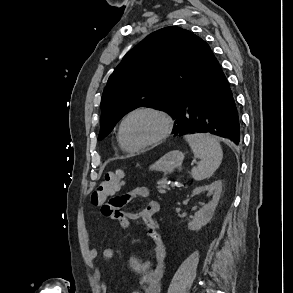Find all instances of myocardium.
<instances>
[{
	"instance_id": "1",
	"label": "myocardium",
	"mask_w": 293,
	"mask_h": 293,
	"mask_svg": "<svg viewBox=\"0 0 293 293\" xmlns=\"http://www.w3.org/2000/svg\"><path fill=\"white\" fill-rule=\"evenodd\" d=\"M139 113H149V114H152V115H155L156 117H158L162 122V129H161L160 133L156 137H154L153 139H151L145 143H142V144L131 145L128 143V141L125 138L124 126H125L126 122L132 116L139 114ZM172 129H173V121L167 113H165L164 111H162L160 109L154 108V107L143 106V107L135 108L132 111H130L128 114L125 115V117L120 122L118 134H119V138H120L122 145L128 151H138V150H142V149L159 144L160 142L165 140L170 135V133L172 132Z\"/></svg>"
}]
</instances>
